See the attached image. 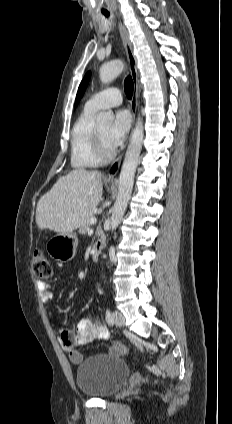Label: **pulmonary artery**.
Segmentation results:
<instances>
[{
    "instance_id": "e3ab8cb5",
    "label": "pulmonary artery",
    "mask_w": 232,
    "mask_h": 424,
    "mask_svg": "<svg viewBox=\"0 0 232 424\" xmlns=\"http://www.w3.org/2000/svg\"><path fill=\"white\" fill-rule=\"evenodd\" d=\"M123 97L117 88H107L92 96L86 103V108L99 111L111 107L119 106Z\"/></svg>"
}]
</instances>
